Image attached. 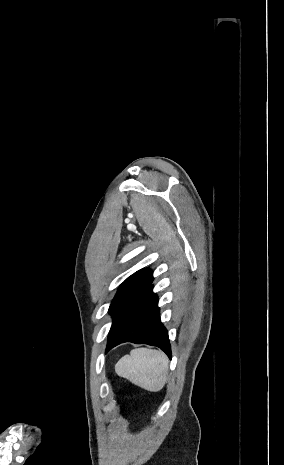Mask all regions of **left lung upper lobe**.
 <instances>
[{"label":"left lung upper lobe","mask_w":284,"mask_h":465,"mask_svg":"<svg viewBox=\"0 0 284 465\" xmlns=\"http://www.w3.org/2000/svg\"><path fill=\"white\" fill-rule=\"evenodd\" d=\"M152 281V271L148 269L139 270L127 278V280L118 288V291L109 307V313L112 315L113 320L116 319L119 313L130 301L151 285Z\"/></svg>","instance_id":"1"}]
</instances>
